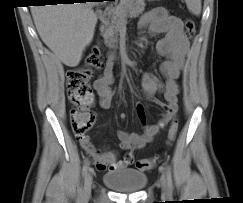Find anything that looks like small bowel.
Returning a JSON list of instances; mask_svg holds the SVG:
<instances>
[{"mask_svg":"<svg viewBox=\"0 0 243 203\" xmlns=\"http://www.w3.org/2000/svg\"><path fill=\"white\" fill-rule=\"evenodd\" d=\"M138 29H148L152 34H163L156 44V50L159 55L166 58L160 67L165 81L161 82L157 77L145 73L142 76V87L146 96L159 105L164 112L156 124H148L143 106L140 104L136 106L137 117L143 126L142 133H130L125 130H119L117 133L120 148L130 152L129 157L124 160H119L115 151L97 149L90 143L88 137L79 139L82 149L94 160L95 167L100 171L127 167L133 161V152L149 143L178 111L179 85L177 81L190 50L189 41L183 33L182 22L179 18L168 14L165 9L158 7L141 16ZM113 70L114 57L110 56L103 72L94 82V88L99 96V106L103 109L111 106L113 91L110 85L113 82ZM157 92L163 94L164 101L154 97ZM119 117L125 120L126 114L122 113Z\"/></svg>","mask_w":243,"mask_h":203,"instance_id":"c3829d8e","label":"small bowel"}]
</instances>
